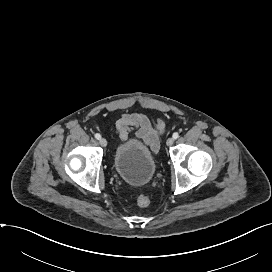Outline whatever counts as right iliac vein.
I'll return each instance as SVG.
<instances>
[{
    "mask_svg": "<svg viewBox=\"0 0 272 272\" xmlns=\"http://www.w3.org/2000/svg\"><path fill=\"white\" fill-rule=\"evenodd\" d=\"M99 143L102 147H106L107 146V140L105 138H100L99 139Z\"/></svg>",
    "mask_w": 272,
    "mask_h": 272,
    "instance_id": "right-iliac-vein-1",
    "label": "right iliac vein"
}]
</instances>
